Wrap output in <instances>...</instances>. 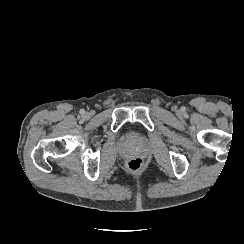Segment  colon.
<instances>
[{
    "mask_svg": "<svg viewBox=\"0 0 244 244\" xmlns=\"http://www.w3.org/2000/svg\"><path fill=\"white\" fill-rule=\"evenodd\" d=\"M126 166L129 170H137L141 166V160L137 157H132L126 161Z\"/></svg>",
    "mask_w": 244,
    "mask_h": 244,
    "instance_id": "5ec220e1",
    "label": "colon"
}]
</instances>
